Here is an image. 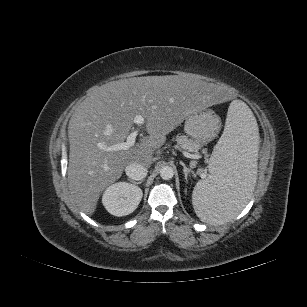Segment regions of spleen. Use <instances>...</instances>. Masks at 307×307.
<instances>
[{"instance_id": "3e777b00", "label": "spleen", "mask_w": 307, "mask_h": 307, "mask_svg": "<svg viewBox=\"0 0 307 307\" xmlns=\"http://www.w3.org/2000/svg\"><path fill=\"white\" fill-rule=\"evenodd\" d=\"M258 138L251 110L233 101L209 161V176L198 181L192 193L193 208L201 221L222 225L245 207L256 183Z\"/></svg>"}]
</instances>
